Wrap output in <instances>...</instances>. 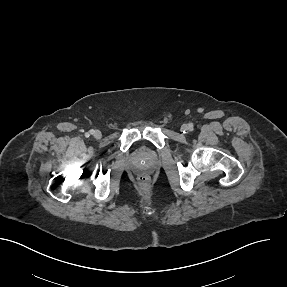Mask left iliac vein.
Masks as SVG:
<instances>
[{"label":"left iliac vein","mask_w":287,"mask_h":287,"mask_svg":"<svg viewBox=\"0 0 287 287\" xmlns=\"http://www.w3.org/2000/svg\"><path fill=\"white\" fill-rule=\"evenodd\" d=\"M181 129H182L183 131H187V130H189V125L184 124V125H182Z\"/></svg>","instance_id":"left-iliac-vein-1"}]
</instances>
